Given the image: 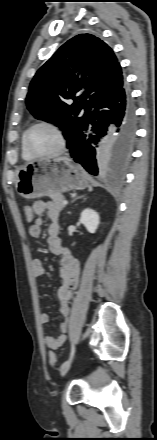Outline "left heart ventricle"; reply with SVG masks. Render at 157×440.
<instances>
[{
	"instance_id": "obj_1",
	"label": "left heart ventricle",
	"mask_w": 157,
	"mask_h": 440,
	"mask_svg": "<svg viewBox=\"0 0 157 440\" xmlns=\"http://www.w3.org/2000/svg\"><path fill=\"white\" fill-rule=\"evenodd\" d=\"M29 144L34 152L48 154L58 148L59 139L52 129L40 126L30 133Z\"/></svg>"
}]
</instances>
